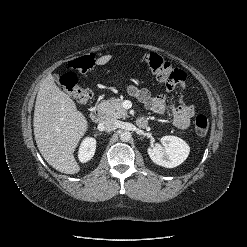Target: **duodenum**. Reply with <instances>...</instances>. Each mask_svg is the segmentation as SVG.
I'll list each match as a JSON object with an SVG mask.
<instances>
[{
    "label": "duodenum",
    "instance_id": "duodenum-1",
    "mask_svg": "<svg viewBox=\"0 0 247 247\" xmlns=\"http://www.w3.org/2000/svg\"><path fill=\"white\" fill-rule=\"evenodd\" d=\"M103 117H104V111H103L102 107H100V106L95 107V108L92 110L91 114H90L91 120H92L93 122H95V123L101 122L102 119H103ZM147 124H148V122H147V120L144 119V118H139V119L137 120V125H138L139 127H141V128H145V127L147 126Z\"/></svg>",
    "mask_w": 247,
    "mask_h": 247
}]
</instances>
